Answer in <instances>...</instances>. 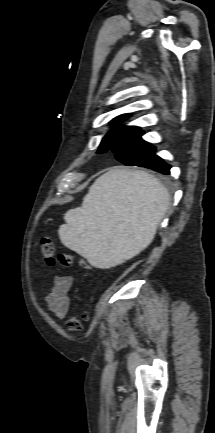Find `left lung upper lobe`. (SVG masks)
<instances>
[{"label":"left lung upper lobe","mask_w":215,"mask_h":433,"mask_svg":"<svg viewBox=\"0 0 215 433\" xmlns=\"http://www.w3.org/2000/svg\"><path fill=\"white\" fill-rule=\"evenodd\" d=\"M126 115L114 118L112 123H119ZM144 131L136 126H115L105 135L97 153H105L111 150L115 158L124 165H140L149 169H157L163 160L155 155V148L144 141L141 136Z\"/></svg>","instance_id":"5c2ea615"}]
</instances>
